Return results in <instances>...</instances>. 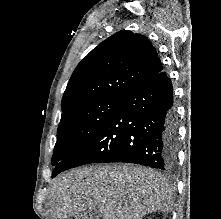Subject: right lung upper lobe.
Masks as SVG:
<instances>
[{
	"label": "right lung upper lobe",
	"mask_w": 221,
	"mask_h": 219,
	"mask_svg": "<svg viewBox=\"0 0 221 219\" xmlns=\"http://www.w3.org/2000/svg\"><path fill=\"white\" fill-rule=\"evenodd\" d=\"M156 49L143 35L119 31L76 67L62 98V111L91 100L123 98L162 71Z\"/></svg>",
	"instance_id": "obj_1"
}]
</instances>
